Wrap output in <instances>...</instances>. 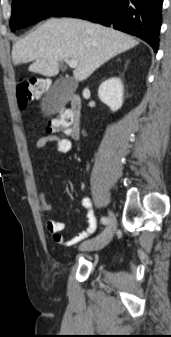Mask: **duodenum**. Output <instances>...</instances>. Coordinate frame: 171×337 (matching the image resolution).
<instances>
[{
	"instance_id": "410a0bca",
	"label": "duodenum",
	"mask_w": 171,
	"mask_h": 337,
	"mask_svg": "<svg viewBox=\"0 0 171 337\" xmlns=\"http://www.w3.org/2000/svg\"><path fill=\"white\" fill-rule=\"evenodd\" d=\"M80 109V97L74 93L70 98V109L65 111L70 121V134L73 138H78L80 135Z\"/></svg>"
}]
</instances>
